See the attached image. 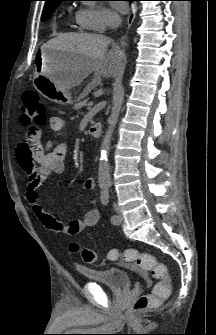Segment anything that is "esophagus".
I'll return each mask as SVG.
<instances>
[{"instance_id":"esophagus-1","label":"esophagus","mask_w":216,"mask_h":335,"mask_svg":"<svg viewBox=\"0 0 216 335\" xmlns=\"http://www.w3.org/2000/svg\"><path fill=\"white\" fill-rule=\"evenodd\" d=\"M135 15H136V13H135V9H134L133 6H131V10H130V13H129V15H128V19H127V26H128V28L132 25V23H133V21H134V19H135ZM120 44H121L122 46H125V45H126V41H125V39H122V40L120 41Z\"/></svg>"}]
</instances>
